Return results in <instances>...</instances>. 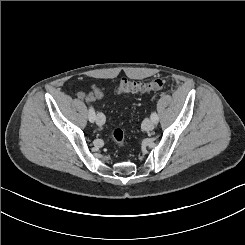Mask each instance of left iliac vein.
Listing matches in <instances>:
<instances>
[{
	"label": "left iliac vein",
	"mask_w": 245,
	"mask_h": 245,
	"mask_svg": "<svg viewBox=\"0 0 245 245\" xmlns=\"http://www.w3.org/2000/svg\"><path fill=\"white\" fill-rule=\"evenodd\" d=\"M154 127H155V122H153L151 119H146L143 122V129L145 131H151L154 129Z\"/></svg>",
	"instance_id": "4c4485c4"
}]
</instances>
